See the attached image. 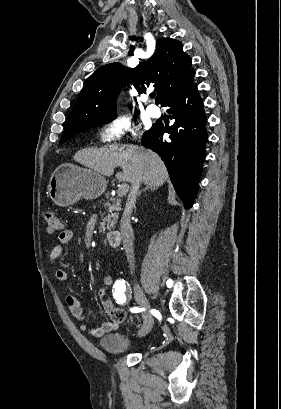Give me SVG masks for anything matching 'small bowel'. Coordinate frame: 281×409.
<instances>
[{
  "label": "small bowel",
  "instance_id": "c3829d8e",
  "mask_svg": "<svg viewBox=\"0 0 281 409\" xmlns=\"http://www.w3.org/2000/svg\"><path fill=\"white\" fill-rule=\"evenodd\" d=\"M73 232L65 230L60 233L57 243L54 245L49 260L50 263H55L56 260L63 254L65 247L72 241ZM55 277L59 282L66 283L69 279L68 273L63 269H58L55 272ZM113 285V278L111 275H106L103 278V285L98 288L97 296L100 300L104 313L109 317L108 321L103 322L99 326H90L85 323V316L80 304V301L75 295L68 294L66 296V304L73 319L79 323V330L87 333L93 337H102L106 334L117 330L121 322L113 319V313L118 309L115 307L113 301L109 297V291Z\"/></svg>",
  "mask_w": 281,
  "mask_h": 409
}]
</instances>
